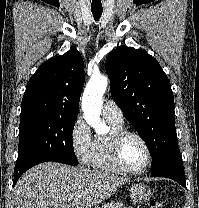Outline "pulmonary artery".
<instances>
[{
	"label": "pulmonary artery",
	"instance_id": "obj_1",
	"mask_svg": "<svg viewBox=\"0 0 199 208\" xmlns=\"http://www.w3.org/2000/svg\"><path fill=\"white\" fill-rule=\"evenodd\" d=\"M102 114L105 119L111 120L118 124L124 123V115L122 110L115 102L111 100H105L102 107Z\"/></svg>",
	"mask_w": 199,
	"mask_h": 208
}]
</instances>
